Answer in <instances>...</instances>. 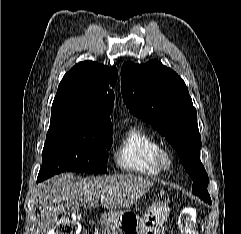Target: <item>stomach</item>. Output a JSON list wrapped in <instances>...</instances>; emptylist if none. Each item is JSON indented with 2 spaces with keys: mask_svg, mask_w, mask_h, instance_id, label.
Instances as JSON below:
<instances>
[{
  "mask_svg": "<svg viewBox=\"0 0 241 234\" xmlns=\"http://www.w3.org/2000/svg\"><path fill=\"white\" fill-rule=\"evenodd\" d=\"M168 215V205L157 202L147 209L141 219L130 211H123L105 216V220L111 221L119 234H164V224Z\"/></svg>",
  "mask_w": 241,
  "mask_h": 234,
  "instance_id": "1",
  "label": "stomach"
}]
</instances>
